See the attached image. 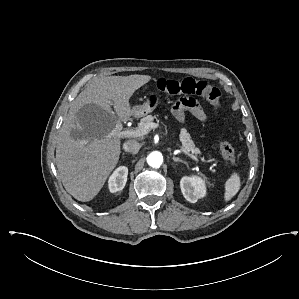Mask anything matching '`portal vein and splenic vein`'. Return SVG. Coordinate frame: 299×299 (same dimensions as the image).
<instances>
[{
	"instance_id": "1",
	"label": "portal vein and splenic vein",
	"mask_w": 299,
	"mask_h": 299,
	"mask_svg": "<svg viewBox=\"0 0 299 299\" xmlns=\"http://www.w3.org/2000/svg\"><path fill=\"white\" fill-rule=\"evenodd\" d=\"M162 126L158 123H149L145 128L142 129H136V130H127V131H121L122 125L119 121H117L116 127L110 132L109 137H140L145 134H147L151 129L155 128H161ZM177 146L190 158H192L196 163H199L198 158L191 154L188 150H185L183 147H181L178 143Z\"/></svg>"
}]
</instances>
